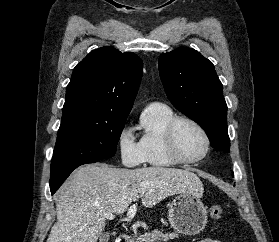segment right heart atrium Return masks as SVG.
Returning <instances> with one entry per match:
<instances>
[{
  "label": "right heart atrium",
  "instance_id": "obj_1",
  "mask_svg": "<svg viewBox=\"0 0 279 242\" xmlns=\"http://www.w3.org/2000/svg\"><path fill=\"white\" fill-rule=\"evenodd\" d=\"M120 160L127 167H135L145 162L139 142L135 140L128 128H123L117 137Z\"/></svg>",
  "mask_w": 279,
  "mask_h": 242
}]
</instances>
